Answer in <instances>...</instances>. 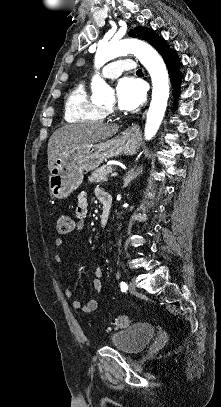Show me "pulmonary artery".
Returning a JSON list of instances; mask_svg holds the SVG:
<instances>
[{
    "mask_svg": "<svg viewBox=\"0 0 221 407\" xmlns=\"http://www.w3.org/2000/svg\"><path fill=\"white\" fill-rule=\"evenodd\" d=\"M137 63L129 57H118L104 66L103 76L116 78L123 72L134 73Z\"/></svg>",
    "mask_w": 221,
    "mask_h": 407,
    "instance_id": "1",
    "label": "pulmonary artery"
}]
</instances>
